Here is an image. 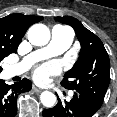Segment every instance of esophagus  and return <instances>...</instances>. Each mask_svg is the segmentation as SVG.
<instances>
[{"label":"esophagus","instance_id":"1","mask_svg":"<svg viewBox=\"0 0 117 117\" xmlns=\"http://www.w3.org/2000/svg\"><path fill=\"white\" fill-rule=\"evenodd\" d=\"M33 91L36 93H40V92H42V89L37 88V87H33Z\"/></svg>","mask_w":117,"mask_h":117}]
</instances>
